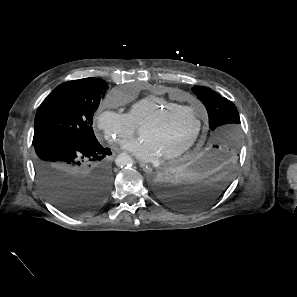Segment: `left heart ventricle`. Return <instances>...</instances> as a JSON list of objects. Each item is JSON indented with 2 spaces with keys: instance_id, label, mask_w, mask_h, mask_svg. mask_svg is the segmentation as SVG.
Segmentation results:
<instances>
[{
  "instance_id": "left-heart-ventricle-1",
  "label": "left heart ventricle",
  "mask_w": 297,
  "mask_h": 297,
  "mask_svg": "<svg viewBox=\"0 0 297 297\" xmlns=\"http://www.w3.org/2000/svg\"><path fill=\"white\" fill-rule=\"evenodd\" d=\"M196 117L192 111H176L148 127H141L139 135L151 139L164 156L177 150L193 134Z\"/></svg>"
}]
</instances>
